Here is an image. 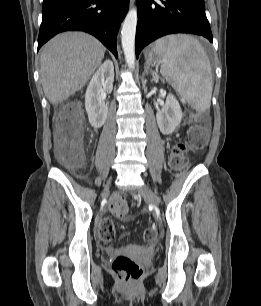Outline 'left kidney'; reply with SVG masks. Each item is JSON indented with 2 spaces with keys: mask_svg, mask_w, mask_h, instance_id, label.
I'll use <instances>...</instances> for the list:
<instances>
[{
  "mask_svg": "<svg viewBox=\"0 0 261 306\" xmlns=\"http://www.w3.org/2000/svg\"><path fill=\"white\" fill-rule=\"evenodd\" d=\"M157 124L162 134L169 135L180 125L182 110L173 94H168L165 105L156 114Z\"/></svg>",
  "mask_w": 261,
  "mask_h": 306,
  "instance_id": "left-kidney-1",
  "label": "left kidney"
}]
</instances>
